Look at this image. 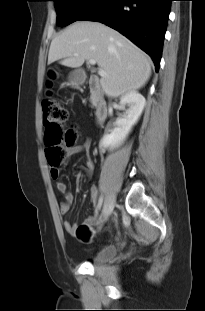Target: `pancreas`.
<instances>
[{
  "instance_id": "pancreas-1",
  "label": "pancreas",
  "mask_w": 205,
  "mask_h": 311,
  "mask_svg": "<svg viewBox=\"0 0 205 311\" xmlns=\"http://www.w3.org/2000/svg\"><path fill=\"white\" fill-rule=\"evenodd\" d=\"M91 103L93 104V106L95 105V102L92 97H91Z\"/></svg>"
}]
</instances>
